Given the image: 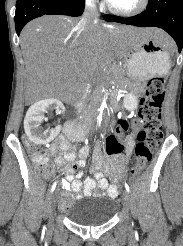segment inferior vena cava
I'll use <instances>...</instances> for the list:
<instances>
[{"mask_svg": "<svg viewBox=\"0 0 183 246\" xmlns=\"http://www.w3.org/2000/svg\"><path fill=\"white\" fill-rule=\"evenodd\" d=\"M99 12L95 0H86L85 10L79 22V25L92 26L98 22Z\"/></svg>", "mask_w": 183, "mask_h": 246, "instance_id": "1", "label": "inferior vena cava"}]
</instances>
